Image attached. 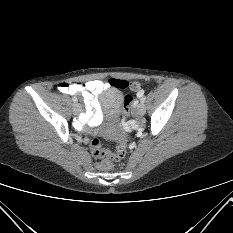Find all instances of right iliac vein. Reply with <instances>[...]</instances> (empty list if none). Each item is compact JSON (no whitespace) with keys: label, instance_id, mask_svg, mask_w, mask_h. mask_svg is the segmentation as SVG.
<instances>
[{"label":"right iliac vein","instance_id":"obj_1","mask_svg":"<svg viewBox=\"0 0 233 233\" xmlns=\"http://www.w3.org/2000/svg\"><path fill=\"white\" fill-rule=\"evenodd\" d=\"M72 111H73V113H74L75 115L79 114L80 111H81V106H80V104L75 103V104L73 105Z\"/></svg>","mask_w":233,"mask_h":233}]
</instances>
